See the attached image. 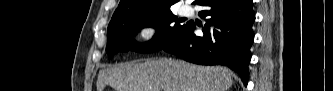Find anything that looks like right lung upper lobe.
Returning <instances> with one entry per match:
<instances>
[{
	"label": "right lung upper lobe",
	"instance_id": "obj_1",
	"mask_svg": "<svg viewBox=\"0 0 333 91\" xmlns=\"http://www.w3.org/2000/svg\"><path fill=\"white\" fill-rule=\"evenodd\" d=\"M178 0H121L112 16L111 22L124 21L158 12L169 11ZM201 0H195L198 4Z\"/></svg>",
	"mask_w": 333,
	"mask_h": 91
}]
</instances>
